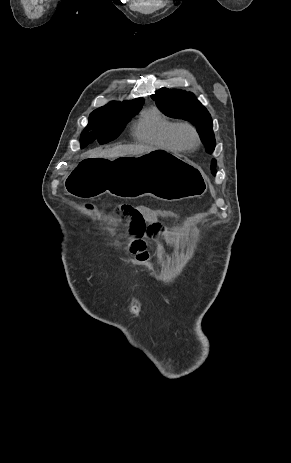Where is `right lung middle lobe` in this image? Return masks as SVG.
<instances>
[{"label":"right lung middle lobe","mask_w":291,"mask_h":463,"mask_svg":"<svg viewBox=\"0 0 291 463\" xmlns=\"http://www.w3.org/2000/svg\"><path fill=\"white\" fill-rule=\"evenodd\" d=\"M143 103L126 109H96L89 116L88 125L81 134L80 144L84 148L95 140L100 144L114 140Z\"/></svg>","instance_id":"1"}]
</instances>
